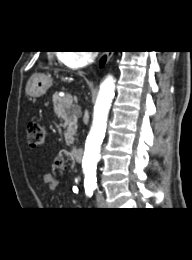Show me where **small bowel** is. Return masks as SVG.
<instances>
[{
	"label": "small bowel",
	"instance_id": "c3829d8e",
	"mask_svg": "<svg viewBox=\"0 0 192 260\" xmlns=\"http://www.w3.org/2000/svg\"><path fill=\"white\" fill-rule=\"evenodd\" d=\"M44 188L46 191H54L60 187L59 179L52 173H46L43 177Z\"/></svg>",
	"mask_w": 192,
	"mask_h": 260
}]
</instances>
